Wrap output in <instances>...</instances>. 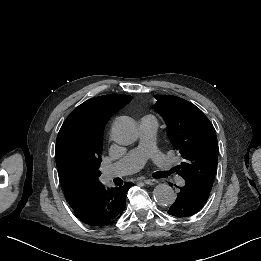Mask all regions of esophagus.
I'll return each mask as SVG.
<instances>
[{
  "label": "esophagus",
  "mask_w": 261,
  "mask_h": 261,
  "mask_svg": "<svg viewBox=\"0 0 261 261\" xmlns=\"http://www.w3.org/2000/svg\"><path fill=\"white\" fill-rule=\"evenodd\" d=\"M144 183L147 185H156L159 183V181L156 179H145Z\"/></svg>",
  "instance_id": "1"
}]
</instances>
